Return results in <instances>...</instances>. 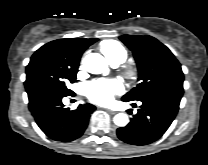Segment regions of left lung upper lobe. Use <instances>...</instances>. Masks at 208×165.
Instances as JSON below:
<instances>
[{
	"instance_id": "left-lung-upper-lobe-1",
	"label": "left lung upper lobe",
	"mask_w": 208,
	"mask_h": 165,
	"mask_svg": "<svg viewBox=\"0 0 208 165\" xmlns=\"http://www.w3.org/2000/svg\"><path fill=\"white\" fill-rule=\"evenodd\" d=\"M120 40L133 52L138 68V85L123 100H140L164 88L183 90L184 76L172 52L151 36L123 35Z\"/></svg>"
}]
</instances>
